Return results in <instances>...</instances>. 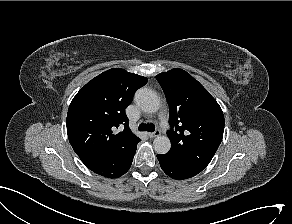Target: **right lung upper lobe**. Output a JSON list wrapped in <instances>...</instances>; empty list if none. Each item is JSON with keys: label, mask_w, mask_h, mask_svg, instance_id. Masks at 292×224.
<instances>
[{"label": "right lung upper lobe", "mask_w": 292, "mask_h": 224, "mask_svg": "<svg viewBox=\"0 0 292 224\" xmlns=\"http://www.w3.org/2000/svg\"><path fill=\"white\" fill-rule=\"evenodd\" d=\"M147 78L113 68L88 82L73 98L67 133L74 151L90 154L128 153L140 139L128 126L126 107ZM118 127L123 130L116 132Z\"/></svg>", "instance_id": "cb5924a9"}]
</instances>
